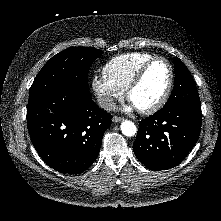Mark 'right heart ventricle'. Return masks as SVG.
Wrapping results in <instances>:
<instances>
[{
	"label": "right heart ventricle",
	"instance_id": "e07e8e85",
	"mask_svg": "<svg viewBox=\"0 0 221 221\" xmlns=\"http://www.w3.org/2000/svg\"><path fill=\"white\" fill-rule=\"evenodd\" d=\"M152 57L153 55L145 52L118 55L105 64L103 75L125 91L137 70Z\"/></svg>",
	"mask_w": 221,
	"mask_h": 221
}]
</instances>
